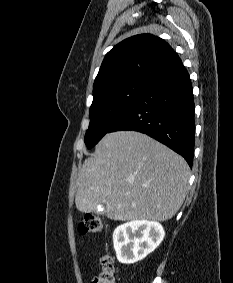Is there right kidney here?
<instances>
[{
	"label": "right kidney",
	"instance_id": "right-kidney-1",
	"mask_svg": "<svg viewBox=\"0 0 233 283\" xmlns=\"http://www.w3.org/2000/svg\"><path fill=\"white\" fill-rule=\"evenodd\" d=\"M165 232L156 221L133 220L118 226L113 233L117 259L133 264L144 259L162 242Z\"/></svg>",
	"mask_w": 233,
	"mask_h": 283
}]
</instances>
